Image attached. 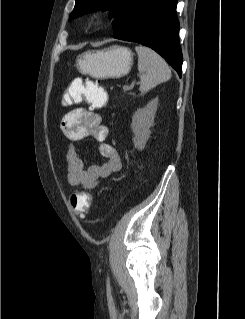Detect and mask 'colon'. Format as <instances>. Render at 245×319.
Here are the masks:
<instances>
[{"label":"colon","instance_id":"1","mask_svg":"<svg viewBox=\"0 0 245 319\" xmlns=\"http://www.w3.org/2000/svg\"><path fill=\"white\" fill-rule=\"evenodd\" d=\"M76 102H84L91 108L100 109L107 103V93L90 78H85L76 93ZM91 204V195L88 192L77 191L70 196V207L73 212L84 216Z\"/></svg>","mask_w":245,"mask_h":319}]
</instances>
